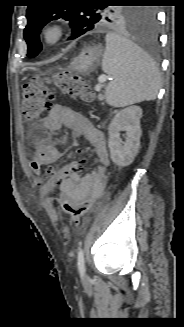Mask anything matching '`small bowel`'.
Wrapping results in <instances>:
<instances>
[{
	"mask_svg": "<svg viewBox=\"0 0 184 327\" xmlns=\"http://www.w3.org/2000/svg\"><path fill=\"white\" fill-rule=\"evenodd\" d=\"M43 125L48 131H57L63 127L71 129L76 136L84 138L94 147L98 163L90 173L80 177L78 175L83 174V168L88 164L87 159H79L77 153H62L61 159L67 160V165L62 167L61 163H56L60 159L56 144L48 138H38L31 168L35 173H40L35 171V166L44 165V171L49 173L41 174L45 183L40 184L37 192L45 198L52 194V190L59 189L55 197L58 203L63 195L68 200H91L93 204L103 193L107 180L106 170L110 165L103 133L83 114L62 104H54L51 107L43 119Z\"/></svg>",
	"mask_w": 184,
	"mask_h": 327,
	"instance_id": "obj_1",
	"label": "small bowel"
}]
</instances>
